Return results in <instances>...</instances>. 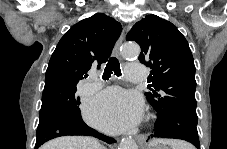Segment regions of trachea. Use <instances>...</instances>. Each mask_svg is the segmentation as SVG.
<instances>
[{
  "label": "trachea",
  "instance_id": "obj_1",
  "mask_svg": "<svg viewBox=\"0 0 227 149\" xmlns=\"http://www.w3.org/2000/svg\"><path fill=\"white\" fill-rule=\"evenodd\" d=\"M114 72L116 76H121L120 63L117 58L111 57L104 69L103 79L107 80L111 77V74Z\"/></svg>",
  "mask_w": 227,
  "mask_h": 149
}]
</instances>
